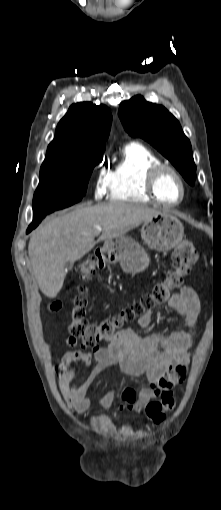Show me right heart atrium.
Here are the masks:
<instances>
[{
  "label": "right heart atrium",
  "instance_id": "right-heart-atrium-1",
  "mask_svg": "<svg viewBox=\"0 0 221 510\" xmlns=\"http://www.w3.org/2000/svg\"><path fill=\"white\" fill-rule=\"evenodd\" d=\"M109 186V173L102 169L96 179L95 183V197L102 198L108 191Z\"/></svg>",
  "mask_w": 221,
  "mask_h": 510
}]
</instances>
